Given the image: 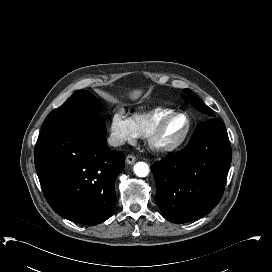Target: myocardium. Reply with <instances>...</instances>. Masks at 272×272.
I'll list each match as a JSON object with an SVG mask.
<instances>
[{"label": "myocardium", "mask_w": 272, "mask_h": 272, "mask_svg": "<svg viewBox=\"0 0 272 272\" xmlns=\"http://www.w3.org/2000/svg\"><path fill=\"white\" fill-rule=\"evenodd\" d=\"M182 116L187 121V127L184 134L172 144L169 145H161L158 143L159 137L162 135L164 130L166 129L169 122L175 117ZM192 130V121L190 117L184 112H173L166 117H164L154 128H152L146 135L149 147L156 153L160 154H168L171 153L178 148H180L188 139Z\"/></svg>", "instance_id": "f54148a6"}]
</instances>
